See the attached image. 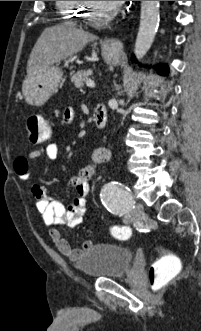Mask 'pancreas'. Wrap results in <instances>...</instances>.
Returning a JSON list of instances; mask_svg holds the SVG:
<instances>
[{"instance_id": "obj_1", "label": "pancreas", "mask_w": 201, "mask_h": 331, "mask_svg": "<svg viewBox=\"0 0 201 331\" xmlns=\"http://www.w3.org/2000/svg\"><path fill=\"white\" fill-rule=\"evenodd\" d=\"M91 71H85L81 70L78 71L72 78L71 81L74 83L75 87L82 88L84 86V83L88 80V75Z\"/></svg>"}]
</instances>
